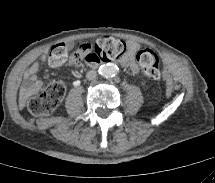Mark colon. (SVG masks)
<instances>
[{
  "label": "colon",
  "mask_w": 215,
  "mask_h": 183,
  "mask_svg": "<svg viewBox=\"0 0 215 183\" xmlns=\"http://www.w3.org/2000/svg\"><path fill=\"white\" fill-rule=\"evenodd\" d=\"M126 45L112 37H102L92 44H82L72 54L89 63L111 62L118 59L125 51ZM68 56V47L64 43L52 46L48 61L51 66L58 67L65 63ZM137 61L142 67L145 76L156 81L160 78L159 60L156 54L149 49L137 53ZM66 92V86L61 81L48 84L40 94L31 97L27 104L31 114L48 116L61 103Z\"/></svg>",
  "instance_id": "5ec220e1"
}]
</instances>
